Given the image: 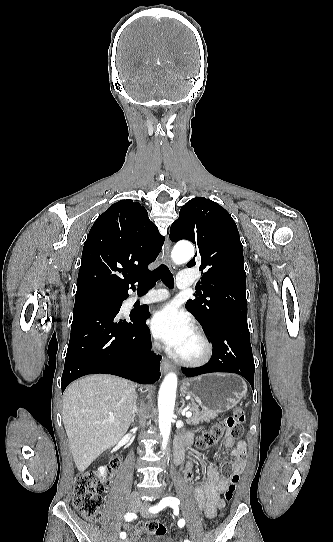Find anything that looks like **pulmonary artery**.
Segmentation results:
<instances>
[{
    "instance_id": "obj_1",
    "label": "pulmonary artery",
    "mask_w": 333,
    "mask_h": 542,
    "mask_svg": "<svg viewBox=\"0 0 333 542\" xmlns=\"http://www.w3.org/2000/svg\"><path fill=\"white\" fill-rule=\"evenodd\" d=\"M194 269L191 266H186L183 271H178L176 273L177 280L175 281V286L180 291H185L187 288L191 286V283L194 280L193 277ZM159 294V295H158ZM168 298V293L166 291H160L157 293L153 290H147L145 295V301H143L144 304H152L157 303L163 300H166Z\"/></svg>"
}]
</instances>
